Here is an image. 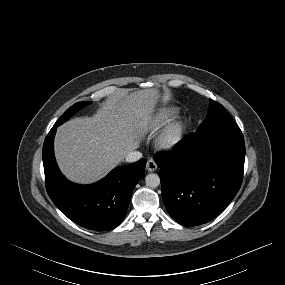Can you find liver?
I'll return each mask as SVG.
<instances>
[{"label": "liver", "instance_id": "1", "mask_svg": "<svg viewBox=\"0 0 285 285\" xmlns=\"http://www.w3.org/2000/svg\"><path fill=\"white\" fill-rule=\"evenodd\" d=\"M160 97L155 88L123 90L101 103L93 116L71 119L60 126L55 156L62 173L82 184L104 177L139 147L153 127Z\"/></svg>", "mask_w": 285, "mask_h": 285}]
</instances>
